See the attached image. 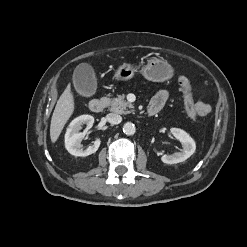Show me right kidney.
<instances>
[{"instance_id":"1","label":"right kidney","mask_w":247,"mask_h":247,"mask_svg":"<svg viewBox=\"0 0 247 247\" xmlns=\"http://www.w3.org/2000/svg\"><path fill=\"white\" fill-rule=\"evenodd\" d=\"M93 123L94 117L91 115H81L70 123L65 134V147L70 154L85 157L98 150L101 143L99 138H96L94 143L86 149H83V146L80 144L85 136V132H80L82 125L85 124L88 130L93 126Z\"/></svg>"}]
</instances>
